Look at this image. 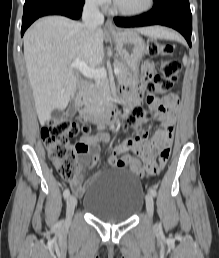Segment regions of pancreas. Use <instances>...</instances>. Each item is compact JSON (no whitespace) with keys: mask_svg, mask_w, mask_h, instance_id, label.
I'll return each instance as SVG.
<instances>
[{"mask_svg":"<svg viewBox=\"0 0 219 258\" xmlns=\"http://www.w3.org/2000/svg\"><path fill=\"white\" fill-rule=\"evenodd\" d=\"M114 67H118L120 72L117 74L118 80L122 83L129 81V68L124 62L115 61ZM110 94L109 82L107 79L97 80L90 85L84 93V104L90 109H98L105 102Z\"/></svg>","mask_w":219,"mask_h":258,"instance_id":"1","label":"pancreas"}]
</instances>
